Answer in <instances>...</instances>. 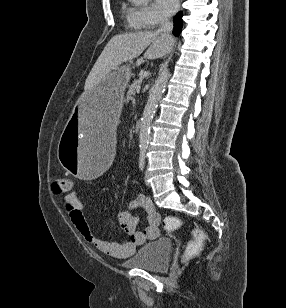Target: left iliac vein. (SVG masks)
I'll return each mask as SVG.
<instances>
[{"mask_svg":"<svg viewBox=\"0 0 286 308\" xmlns=\"http://www.w3.org/2000/svg\"><path fill=\"white\" fill-rule=\"evenodd\" d=\"M147 177H148V173H147V171H146V172H145V175H144L145 184H146V185H149L148 182H147Z\"/></svg>","mask_w":286,"mask_h":308,"instance_id":"obj_1","label":"left iliac vein"}]
</instances>
